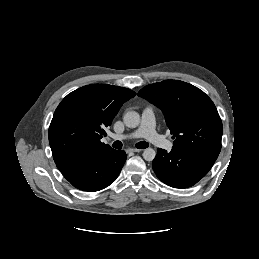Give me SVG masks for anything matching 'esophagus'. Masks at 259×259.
Segmentation results:
<instances>
[{"label": "esophagus", "instance_id": "obj_1", "mask_svg": "<svg viewBox=\"0 0 259 259\" xmlns=\"http://www.w3.org/2000/svg\"><path fill=\"white\" fill-rule=\"evenodd\" d=\"M128 151H130V152H141L142 150L141 149H136V148H131Z\"/></svg>", "mask_w": 259, "mask_h": 259}]
</instances>
